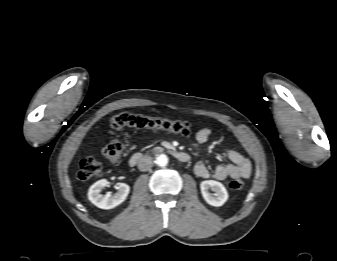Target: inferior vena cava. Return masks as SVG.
Returning <instances> with one entry per match:
<instances>
[{
    "instance_id": "obj_1",
    "label": "inferior vena cava",
    "mask_w": 337,
    "mask_h": 261,
    "mask_svg": "<svg viewBox=\"0 0 337 261\" xmlns=\"http://www.w3.org/2000/svg\"><path fill=\"white\" fill-rule=\"evenodd\" d=\"M153 165L152 158L148 155L142 156L138 161V169L140 171H148Z\"/></svg>"
}]
</instances>
